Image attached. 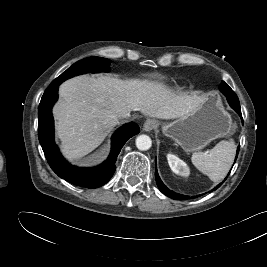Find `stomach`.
<instances>
[{
	"mask_svg": "<svg viewBox=\"0 0 267 267\" xmlns=\"http://www.w3.org/2000/svg\"><path fill=\"white\" fill-rule=\"evenodd\" d=\"M163 133L184 151H199L211 141L230 135L232 119L221 99L210 95L194 111L163 126Z\"/></svg>",
	"mask_w": 267,
	"mask_h": 267,
	"instance_id": "obj_1",
	"label": "stomach"
}]
</instances>
